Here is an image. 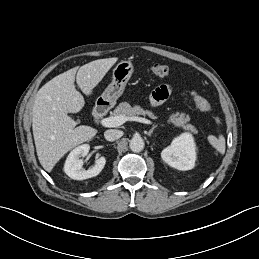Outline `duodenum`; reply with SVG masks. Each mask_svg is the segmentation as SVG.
I'll return each instance as SVG.
<instances>
[{
    "label": "duodenum",
    "mask_w": 259,
    "mask_h": 259,
    "mask_svg": "<svg viewBox=\"0 0 259 259\" xmlns=\"http://www.w3.org/2000/svg\"><path fill=\"white\" fill-rule=\"evenodd\" d=\"M107 112V107L104 105H97L93 111L95 120H100Z\"/></svg>",
    "instance_id": "duodenum-1"
}]
</instances>
